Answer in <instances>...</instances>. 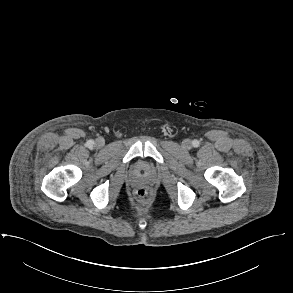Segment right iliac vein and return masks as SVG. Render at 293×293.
Segmentation results:
<instances>
[{"instance_id": "63e3f726", "label": "right iliac vein", "mask_w": 293, "mask_h": 293, "mask_svg": "<svg viewBox=\"0 0 293 293\" xmlns=\"http://www.w3.org/2000/svg\"><path fill=\"white\" fill-rule=\"evenodd\" d=\"M104 144H105V142H104V140H103L102 138H98V139L96 140V142H95V146H96L97 148H101V147H103Z\"/></svg>"}]
</instances>
